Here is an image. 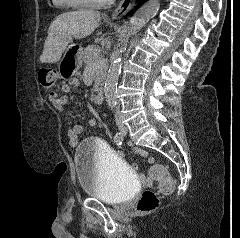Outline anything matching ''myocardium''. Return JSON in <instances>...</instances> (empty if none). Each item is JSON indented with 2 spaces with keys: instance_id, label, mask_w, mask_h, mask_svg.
Returning a JSON list of instances; mask_svg holds the SVG:
<instances>
[{
  "instance_id": "obj_1",
  "label": "myocardium",
  "mask_w": 240,
  "mask_h": 238,
  "mask_svg": "<svg viewBox=\"0 0 240 238\" xmlns=\"http://www.w3.org/2000/svg\"><path fill=\"white\" fill-rule=\"evenodd\" d=\"M113 0H103V1H92V0H66L72 6L76 7H86V8H98L108 5Z\"/></svg>"
}]
</instances>
